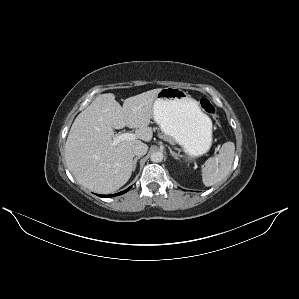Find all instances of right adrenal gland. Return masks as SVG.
<instances>
[{"label": "right adrenal gland", "mask_w": 299, "mask_h": 299, "mask_svg": "<svg viewBox=\"0 0 299 299\" xmlns=\"http://www.w3.org/2000/svg\"><path fill=\"white\" fill-rule=\"evenodd\" d=\"M141 158V156H137V157H135L134 158V160H133V171H135V169H136V166H137V161L139 160Z\"/></svg>", "instance_id": "right-adrenal-gland-1"}]
</instances>
